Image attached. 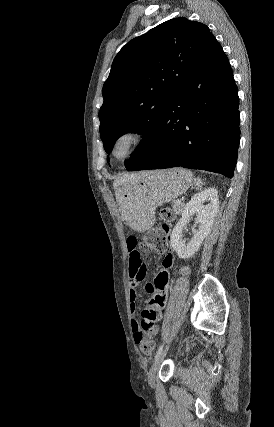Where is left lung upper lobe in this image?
<instances>
[{
	"instance_id": "1",
	"label": "left lung upper lobe",
	"mask_w": 274,
	"mask_h": 427,
	"mask_svg": "<svg viewBox=\"0 0 274 427\" xmlns=\"http://www.w3.org/2000/svg\"><path fill=\"white\" fill-rule=\"evenodd\" d=\"M213 40L206 25L181 17L123 46L102 89L99 130L107 153L127 132H137L143 140L125 166L150 148L178 89Z\"/></svg>"
}]
</instances>
